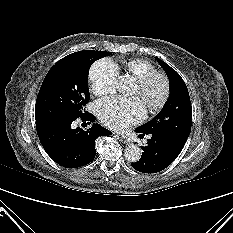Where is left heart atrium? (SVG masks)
Segmentation results:
<instances>
[{
    "instance_id": "1",
    "label": "left heart atrium",
    "mask_w": 233,
    "mask_h": 233,
    "mask_svg": "<svg viewBox=\"0 0 233 233\" xmlns=\"http://www.w3.org/2000/svg\"><path fill=\"white\" fill-rule=\"evenodd\" d=\"M96 113L106 126L123 130L144 118L145 106L137 97L113 96L99 101L96 104Z\"/></svg>"
}]
</instances>
